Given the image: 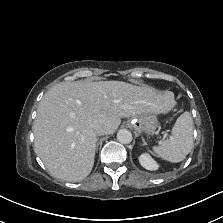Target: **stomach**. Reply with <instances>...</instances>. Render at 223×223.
Listing matches in <instances>:
<instances>
[{
	"mask_svg": "<svg viewBox=\"0 0 223 223\" xmlns=\"http://www.w3.org/2000/svg\"><path fill=\"white\" fill-rule=\"evenodd\" d=\"M131 123L137 132H145L147 134H153L158 126L157 117L152 112H146L134 117Z\"/></svg>",
	"mask_w": 223,
	"mask_h": 223,
	"instance_id": "0dacf381",
	"label": "stomach"
}]
</instances>
